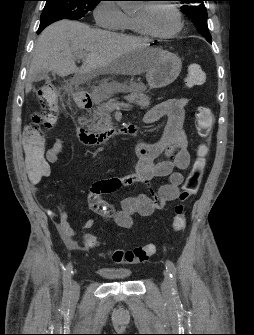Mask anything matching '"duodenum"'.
<instances>
[{
    "instance_id": "410a0bca",
    "label": "duodenum",
    "mask_w": 254,
    "mask_h": 335,
    "mask_svg": "<svg viewBox=\"0 0 254 335\" xmlns=\"http://www.w3.org/2000/svg\"><path fill=\"white\" fill-rule=\"evenodd\" d=\"M77 103L80 108L86 110L90 109L93 105V101L89 95L79 96ZM137 133L138 127L132 124L121 128L112 127L102 132L90 131L84 123H79L77 127V135L86 145H99L119 134L135 137Z\"/></svg>"
}]
</instances>
